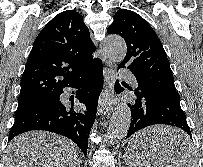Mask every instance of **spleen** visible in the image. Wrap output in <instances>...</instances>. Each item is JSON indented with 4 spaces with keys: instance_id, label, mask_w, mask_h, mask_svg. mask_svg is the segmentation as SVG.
<instances>
[{
    "instance_id": "1",
    "label": "spleen",
    "mask_w": 203,
    "mask_h": 167,
    "mask_svg": "<svg viewBox=\"0 0 203 167\" xmlns=\"http://www.w3.org/2000/svg\"><path fill=\"white\" fill-rule=\"evenodd\" d=\"M155 147L153 143L143 145V147L129 144L127 149L130 160H126L128 167H197L196 156L192 150L187 153V159L168 163L159 158Z\"/></svg>"
}]
</instances>
